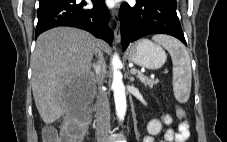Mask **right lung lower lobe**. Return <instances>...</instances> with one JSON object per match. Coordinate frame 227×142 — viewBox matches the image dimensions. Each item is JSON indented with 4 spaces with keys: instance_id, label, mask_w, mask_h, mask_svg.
<instances>
[{
    "instance_id": "1",
    "label": "right lung lower lobe",
    "mask_w": 227,
    "mask_h": 142,
    "mask_svg": "<svg viewBox=\"0 0 227 142\" xmlns=\"http://www.w3.org/2000/svg\"><path fill=\"white\" fill-rule=\"evenodd\" d=\"M91 1L92 9H84L86 3H77L76 0H49L40 3L35 38L53 27L72 26L89 31L111 44L113 32L108 27L110 12L104 5V0Z\"/></svg>"
}]
</instances>
